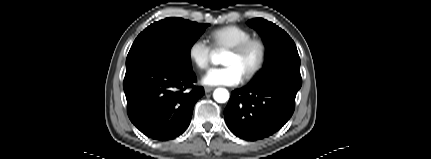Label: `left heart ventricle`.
Segmentation results:
<instances>
[{"label":"left heart ventricle","mask_w":431,"mask_h":159,"mask_svg":"<svg viewBox=\"0 0 431 159\" xmlns=\"http://www.w3.org/2000/svg\"><path fill=\"white\" fill-rule=\"evenodd\" d=\"M257 59L258 51L256 48H252L242 56H237L233 53L227 52L225 54L223 63L226 66L233 65L237 67L241 74L245 75L255 66Z\"/></svg>","instance_id":"left-heart-ventricle-1"}]
</instances>
